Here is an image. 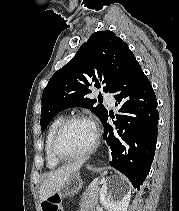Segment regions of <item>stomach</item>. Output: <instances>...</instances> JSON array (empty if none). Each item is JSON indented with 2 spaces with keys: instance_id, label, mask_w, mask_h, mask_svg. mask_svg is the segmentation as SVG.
I'll use <instances>...</instances> for the list:
<instances>
[{
  "instance_id": "obj_1",
  "label": "stomach",
  "mask_w": 179,
  "mask_h": 211,
  "mask_svg": "<svg viewBox=\"0 0 179 211\" xmlns=\"http://www.w3.org/2000/svg\"><path fill=\"white\" fill-rule=\"evenodd\" d=\"M83 182L80 178L79 173L72 174L61 189L52 196H58V198L63 199L76 194L82 188Z\"/></svg>"
}]
</instances>
